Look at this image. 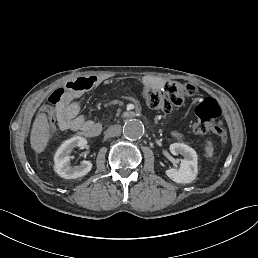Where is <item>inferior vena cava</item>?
Masks as SVG:
<instances>
[{"mask_svg": "<svg viewBox=\"0 0 258 258\" xmlns=\"http://www.w3.org/2000/svg\"><path fill=\"white\" fill-rule=\"evenodd\" d=\"M120 133H121L120 125H112L106 131V135L109 137L118 136Z\"/></svg>", "mask_w": 258, "mask_h": 258, "instance_id": "obj_1", "label": "inferior vena cava"}]
</instances>
